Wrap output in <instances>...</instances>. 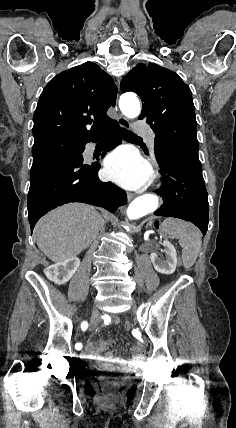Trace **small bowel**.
<instances>
[{"label": "small bowel", "mask_w": 236, "mask_h": 428, "mask_svg": "<svg viewBox=\"0 0 236 428\" xmlns=\"http://www.w3.org/2000/svg\"><path fill=\"white\" fill-rule=\"evenodd\" d=\"M120 321L117 316H103L102 324H118ZM95 328H93V331ZM113 343L111 341L98 340L96 344L88 342L85 347L84 358L88 361L106 364L110 366H117L126 369L136 368L143 361L144 344L143 342H137L132 347V354L129 357L115 356L112 352L107 351Z\"/></svg>", "instance_id": "1"}]
</instances>
